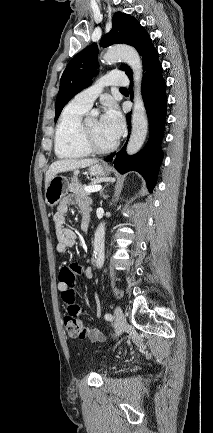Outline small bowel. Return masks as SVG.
<instances>
[{"mask_svg":"<svg viewBox=\"0 0 213 433\" xmlns=\"http://www.w3.org/2000/svg\"><path fill=\"white\" fill-rule=\"evenodd\" d=\"M71 205L78 207L81 213V229L84 231L85 228H89L90 225V201L87 198H73L71 196L65 197L57 206L56 212L53 216V222L56 228L57 245L56 251L59 254H66L76 243L77 234L74 230L67 226L66 214ZM68 267L74 268L76 275H84L87 278L93 276V272L90 267H85L80 264L74 263ZM58 289L64 291L66 286L59 282ZM89 331L95 330L98 333V337L92 340L103 341V333L96 328H90Z\"/></svg>","mask_w":213,"mask_h":433,"instance_id":"obj_1","label":"small bowel"}]
</instances>
